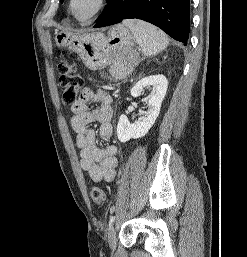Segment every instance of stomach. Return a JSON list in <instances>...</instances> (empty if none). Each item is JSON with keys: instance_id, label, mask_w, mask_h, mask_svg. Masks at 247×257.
Listing matches in <instances>:
<instances>
[{"instance_id": "obj_1", "label": "stomach", "mask_w": 247, "mask_h": 257, "mask_svg": "<svg viewBox=\"0 0 247 257\" xmlns=\"http://www.w3.org/2000/svg\"><path fill=\"white\" fill-rule=\"evenodd\" d=\"M57 47H67L77 52L84 65L91 70L102 69L110 64H120L128 72L116 78H124L138 62V55L133 49L134 37L128 27L113 26L105 35L102 32L74 35L57 33Z\"/></svg>"}]
</instances>
